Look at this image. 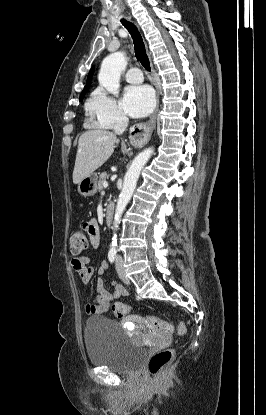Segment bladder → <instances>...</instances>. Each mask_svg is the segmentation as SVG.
I'll list each match as a JSON object with an SVG mask.
<instances>
[{"label":"bladder","instance_id":"bladder-1","mask_svg":"<svg viewBox=\"0 0 266 415\" xmlns=\"http://www.w3.org/2000/svg\"><path fill=\"white\" fill-rule=\"evenodd\" d=\"M84 341L89 362L113 372H137L146 355V349L136 344L119 322L104 316L88 318Z\"/></svg>","mask_w":266,"mask_h":415}]
</instances>
